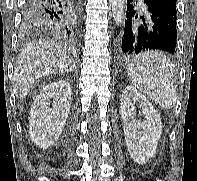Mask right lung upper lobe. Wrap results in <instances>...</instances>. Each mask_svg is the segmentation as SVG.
<instances>
[{
	"instance_id": "cb5924a9",
	"label": "right lung upper lobe",
	"mask_w": 197,
	"mask_h": 181,
	"mask_svg": "<svg viewBox=\"0 0 197 181\" xmlns=\"http://www.w3.org/2000/svg\"><path fill=\"white\" fill-rule=\"evenodd\" d=\"M28 28H34V29H37V30H39V29H48V28H46V27H42V26H33V27H28Z\"/></svg>"
}]
</instances>
